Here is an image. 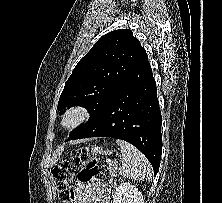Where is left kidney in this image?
<instances>
[{
	"label": "left kidney",
	"mask_w": 222,
	"mask_h": 203,
	"mask_svg": "<svg viewBox=\"0 0 222 203\" xmlns=\"http://www.w3.org/2000/svg\"><path fill=\"white\" fill-rule=\"evenodd\" d=\"M112 203H144V199L134 185L129 182H122L114 193Z\"/></svg>",
	"instance_id": "1"
}]
</instances>
